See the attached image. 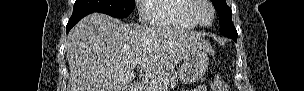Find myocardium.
<instances>
[{
	"instance_id": "obj_1",
	"label": "myocardium",
	"mask_w": 304,
	"mask_h": 91,
	"mask_svg": "<svg viewBox=\"0 0 304 91\" xmlns=\"http://www.w3.org/2000/svg\"><path fill=\"white\" fill-rule=\"evenodd\" d=\"M190 2V7L187 11L189 18L191 19V21L196 24L197 26H201V27H208L211 26L212 23L214 22L215 16H216V12L215 9L211 3V1L209 0H189ZM207 6L212 14V18L208 23L202 22L199 17H198V11L204 7Z\"/></svg>"
}]
</instances>
